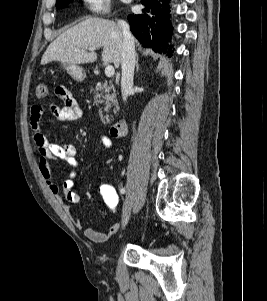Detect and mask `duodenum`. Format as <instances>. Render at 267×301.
Listing matches in <instances>:
<instances>
[{
  "label": "duodenum",
  "instance_id": "obj_1",
  "mask_svg": "<svg viewBox=\"0 0 267 301\" xmlns=\"http://www.w3.org/2000/svg\"><path fill=\"white\" fill-rule=\"evenodd\" d=\"M126 130V121L124 119H119L110 128V134L113 137L121 136Z\"/></svg>",
  "mask_w": 267,
  "mask_h": 301
}]
</instances>
